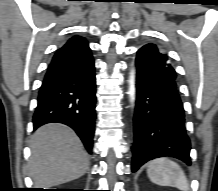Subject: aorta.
<instances>
[{"mask_svg": "<svg viewBox=\"0 0 218 191\" xmlns=\"http://www.w3.org/2000/svg\"><path fill=\"white\" fill-rule=\"evenodd\" d=\"M129 89H128V95L130 98V102L132 104V106H134V102H135V70L134 68L131 70L130 72V76H129Z\"/></svg>", "mask_w": 218, "mask_h": 191, "instance_id": "1", "label": "aorta"}]
</instances>
